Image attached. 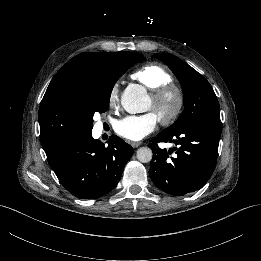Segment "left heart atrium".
<instances>
[{
	"instance_id": "39dd6f15",
	"label": "left heart atrium",
	"mask_w": 261,
	"mask_h": 261,
	"mask_svg": "<svg viewBox=\"0 0 261 261\" xmlns=\"http://www.w3.org/2000/svg\"><path fill=\"white\" fill-rule=\"evenodd\" d=\"M157 122V115L152 112L129 115L116 121L114 131L126 140L140 141L155 130Z\"/></svg>"
}]
</instances>
